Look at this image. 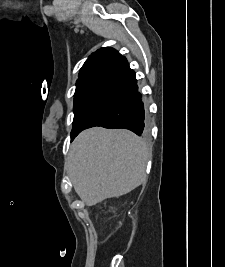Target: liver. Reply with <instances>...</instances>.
Segmentation results:
<instances>
[{
  "label": "liver",
  "mask_w": 225,
  "mask_h": 267,
  "mask_svg": "<svg viewBox=\"0 0 225 267\" xmlns=\"http://www.w3.org/2000/svg\"><path fill=\"white\" fill-rule=\"evenodd\" d=\"M149 157L147 145L134 133L94 127L71 144L67 171L81 200L94 206L141 185Z\"/></svg>",
  "instance_id": "liver-1"
}]
</instances>
